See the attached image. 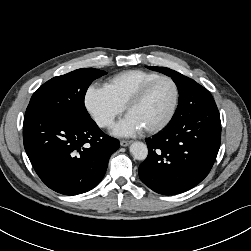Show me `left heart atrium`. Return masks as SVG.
I'll return each mask as SVG.
<instances>
[{
    "label": "left heart atrium",
    "instance_id": "obj_1",
    "mask_svg": "<svg viewBox=\"0 0 251 251\" xmlns=\"http://www.w3.org/2000/svg\"><path fill=\"white\" fill-rule=\"evenodd\" d=\"M142 128L140 125L132 119L129 115L125 119L120 121L114 128V134L118 136H132L140 133Z\"/></svg>",
    "mask_w": 251,
    "mask_h": 251
}]
</instances>
